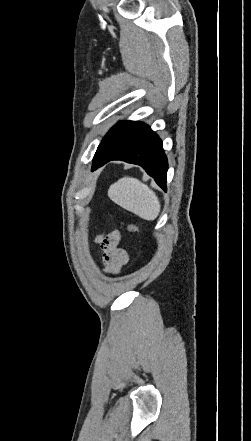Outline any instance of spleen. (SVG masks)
<instances>
[{"label":"spleen","mask_w":251,"mask_h":441,"mask_svg":"<svg viewBox=\"0 0 251 441\" xmlns=\"http://www.w3.org/2000/svg\"><path fill=\"white\" fill-rule=\"evenodd\" d=\"M109 198L122 208L152 221L160 212V202L155 192L133 177H123L108 190Z\"/></svg>","instance_id":"obj_1"}]
</instances>
